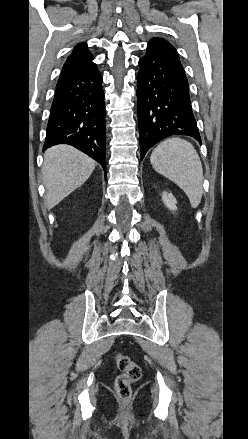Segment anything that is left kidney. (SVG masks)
I'll return each mask as SVG.
<instances>
[{"mask_svg": "<svg viewBox=\"0 0 248 439\" xmlns=\"http://www.w3.org/2000/svg\"><path fill=\"white\" fill-rule=\"evenodd\" d=\"M162 201L164 203V205L169 209V210H177L176 204H177V200L176 198L168 192H163L162 193Z\"/></svg>", "mask_w": 248, "mask_h": 439, "instance_id": "1", "label": "left kidney"}]
</instances>
